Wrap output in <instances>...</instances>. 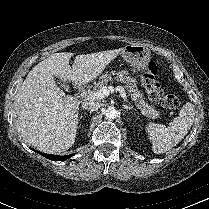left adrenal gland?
<instances>
[{"instance_id": "1", "label": "left adrenal gland", "mask_w": 209, "mask_h": 209, "mask_svg": "<svg viewBox=\"0 0 209 209\" xmlns=\"http://www.w3.org/2000/svg\"><path fill=\"white\" fill-rule=\"evenodd\" d=\"M123 108L126 109L127 111L128 110H133V107L128 106V105H123Z\"/></svg>"}]
</instances>
